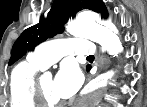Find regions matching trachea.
<instances>
[{"instance_id":"3493384b","label":"trachea","mask_w":147,"mask_h":107,"mask_svg":"<svg viewBox=\"0 0 147 107\" xmlns=\"http://www.w3.org/2000/svg\"><path fill=\"white\" fill-rule=\"evenodd\" d=\"M88 59H94V56L93 55H89L87 56Z\"/></svg>"}]
</instances>
